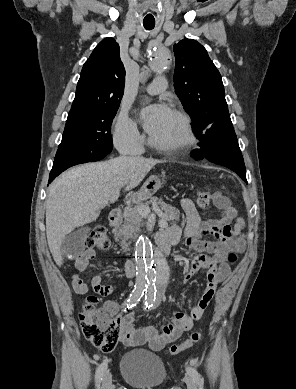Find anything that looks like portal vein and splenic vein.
I'll use <instances>...</instances> for the list:
<instances>
[{"instance_id":"portal-vein-and-splenic-vein-1","label":"portal vein and splenic vein","mask_w":296,"mask_h":389,"mask_svg":"<svg viewBox=\"0 0 296 389\" xmlns=\"http://www.w3.org/2000/svg\"><path fill=\"white\" fill-rule=\"evenodd\" d=\"M119 197V192H116L112 198L110 199V202L111 203H114ZM138 212L140 213V215L146 217L150 214L151 210L148 206H140L138 207ZM159 224L163 227H166L168 225L167 223V220L165 218L162 217V219L159 221Z\"/></svg>"}]
</instances>
